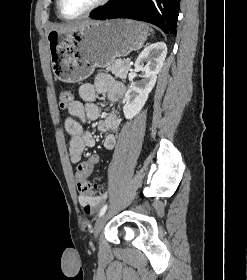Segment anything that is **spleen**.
<instances>
[{
	"mask_svg": "<svg viewBox=\"0 0 247 280\" xmlns=\"http://www.w3.org/2000/svg\"><path fill=\"white\" fill-rule=\"evenodd\" d=\"M150 31L153 33V30H152V29H150Z\"/></svg>",
	"mask_w": 247,
	"mask_h": 280,
	"instance_id": "1",
	"label": "spleen"
}]
</instances>
